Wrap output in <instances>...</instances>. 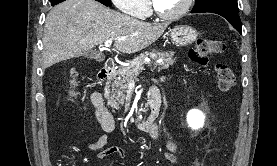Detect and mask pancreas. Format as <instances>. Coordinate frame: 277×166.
<instances>
[{
    "label": "pancreas",
    "mask_w": 277,
    "mask_h": 166,
    "mask_svg": "<svg viewBox=\"0 0 277 166\" xmlns=\"http://www.w3.org/2000/svg\"><path fill=\"white\" fill-rule=\"evenodd\" d=\"M174 52H163L159 50H152L151 52H146L140 54L134 58L130 65L125 67H120L117 71L118 78L112 83L113 94L111 95V101L116 106L119 107L120 104H124L126 95L124 94L127 89L129 82L136 79L137 76L143 70L146 57L153 59L162 58V62L157 64L158 70L167 69L169 66L173 65L175 59L173 58Z\"/></svg>",
    "instance_id": "1"
}]
</instances>
